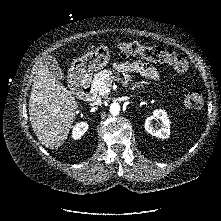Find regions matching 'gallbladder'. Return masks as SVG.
Wrapping results in <instances>:
<instances>
[{
  "label": "gallbladder",
  "instance_id": "1",
  "mask_svg": "<svg viewBox=\"0 0 221 221\" xmlns=\"http://www.w3.org/2000/svg\"><path fill=\"white\" fill-rule=\"evenodd\" d=\"M44 63L48 70L56 77L57 80L65 79L62 69L60 68L59 64L57 63L54 57H47Z\"/></svg>",
  "mask_w": 221,
  "mask_h": 221
}]
</instances>
